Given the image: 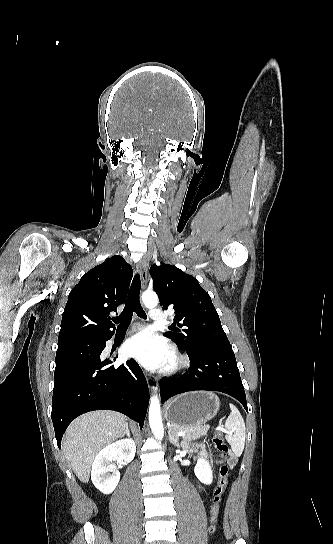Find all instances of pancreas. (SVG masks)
<instances>
[{
    "label": "pancreas",
    "instance_id": "cf45deb5",
    "mask_svg": "<svg viewBox=\"0 0 333 544\" xmlns=\"http://www.w3.org/2000/svg\"><path fill=\"white\" fill-rule=\"evenodd\" d=\"M169 431L171 432H184V439H197L201 436L206 435L207 428L203 425H197V426H180V425H174L172 424L169 427Z\"/></svg>",
    "mask_w": 333,
    "mask_h": 544
}]
</instances>
